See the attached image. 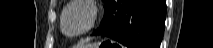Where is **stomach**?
Listing matches in <instances>:
<instances>
[{"mask_svg": "<svg viewBox=\"0 0 213 48\" xmlns=\"http://www.w3.org/2000/svg\"><path fill=\"white\" fill-rule=\"evenodd\" d=\"M101 45H102L101 43L88 44L84 48H100Z\"/></svg>", "mask_w": 213, "mask_h": 48, "instance_id": "obj_1", "label": "stomach"}]
</instances>
